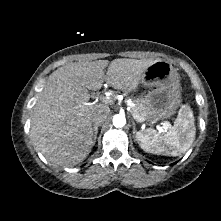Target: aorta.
I'll return each instance as SVG.
<instances>
[{"instance_id": "762f6f07", "label": "aorta", "mask_w": 221, "mask_h": 221, "mask_svg": "<svg viewBox=\"0 0 221 221\" xmlns=\"http://www.w3.org/2000/svg\"><path fill=\"white\" fill-rule=\"evenodd\" d=\"M125 124H126V118L124 115L116 114L113 116V125L116 128H121L125 126Z\"/></svg>"}]
</instances>
